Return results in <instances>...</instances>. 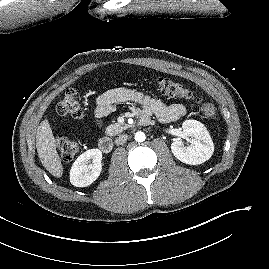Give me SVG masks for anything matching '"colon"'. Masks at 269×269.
<instances>
[{"instance_id":"obj_1","label":"colon","mask_w":269,"mask_h":269,"mask_svg":"<svg viewBox=\"0 0 269 269\" xmlns=\"http://www.w3.org/2000/svg\"><path fill=\"white\" fill-rule=\"evenodd\" d=\"M156 84L160 92L164 95L193 101L198 105L199 111L204 117H214L216 113L214 105L195 96L180 83L167 77H159L156 79ZM57 112L63 117L76 119L83 117V108L79 102L77 92L74 89L66 90L62 99L57 104ZM56 143L60 155L65 161L72 160L79 151V142L64 135L58 136Z\"/></svg>"}]
</instances>
